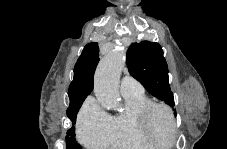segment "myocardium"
Here are the masks:
<instances>
[{"mask_svg": "<svg viewBox=\"0 0 227 149\" xmlns=\"http://www.w3.org/2000/svg\"><path fill=\"white\" fill-rule=\"evenodd\" d=\"M156 110L166 113L171 129V136L168 143L162 144L156 141L150 131V118ZM137 124L142 137L152 146H172L177 138V128L173 111L163 103L150 102L143 106L137 113Z\"/></svg>", "mask_w": 227, "mask_h": 149, "instance_id": "1", "label": "myocardium"}]
</instances>
